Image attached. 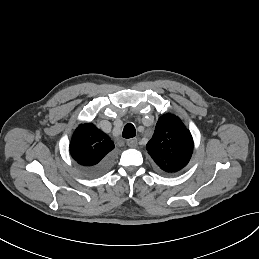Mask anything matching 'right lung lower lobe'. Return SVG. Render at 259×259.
Returning <instances> with one entry per match:
<instances>
[{
    "mask_svg": "<svg viewBox=\"0 0 259 259\" xmlns=\"http://www.w3.org/2000/svg\"><path fill=\"white\" fill-rule=\"evenodd\" d=\"M113 163V156L108 155L94 166H82L83 172L88 176H98L110 169Z\"/></svg>",
    "mask_w": 259,
    "mask_h": 259,
    "instance_id": "obj_1",
    "label": "right lung lower lobe"
}]
</instances>
